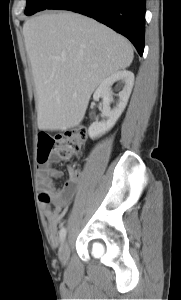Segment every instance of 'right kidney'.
Returning a JSON list of instances; mask_svg holds the SVG:
<instances>
[{
    "instance_id": "ca27d5eb",
    "label": "right kidney",
    "mask_w": 181,
    "mask_h": 300,
    "mask_svg": "<svg viewBox=\"0 0 181 300\" xmlns=\"http://www.w3.org/2000/svg\"><path fill=\"white\" fill-rule=\"evenodd\" d=\"M115 82H118L123 88L118 94L119 101L116 107L111 109L110 103L113 100L111 86ZM133 85L134 74L127 70L118 71L101 82L94 92L93 99L97 101L99 98H103V108L101 111L103 120L96 121L90 125L88 134L91 139L105 134L115 125L127 105Z\"/></svg>"
}]
</instances>
